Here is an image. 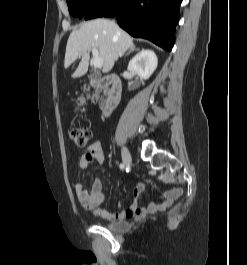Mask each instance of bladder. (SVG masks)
Returning <instances> with one entry per match:
<instances>
[{
	"instance_id": "1",
	"label": "bladder",
	"mask_w": 247,
	"mask_h": 265,
	"mask_svg": "<svg viewBox=\"0 0 247 265\" xmlns=\"http://www.w3.org/2000/svg\"><path fill=\"white\" fill-rule=\"evenodd\" d=\"M104 227L114 232H126L130 229L131 225L128 221H112L104 224Z\"/></svg>"
}]
</instances>
